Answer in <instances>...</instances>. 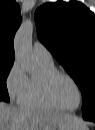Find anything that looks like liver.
I'll return each instance as SVG.
<instances>
[{
	"label": "liver",
	"instance_id": "1",
	"mask_svg": "<svg viewBox=\"0 0 95 130\" xmlns=\"http://www.w3.org/2000/svg\"><path fill=\"white\" fill-rule=\"evenodd\" d=\"M73 118L75 117L69 114L28 110L5 103L0 104V130H56L60 123Z\"/></svg>",
	"mask_w": 95,
	"mask_h": 130
}]
</instances>
